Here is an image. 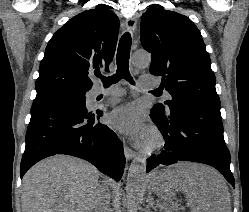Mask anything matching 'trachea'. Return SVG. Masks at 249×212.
Returning a JSON list of instances; mask_svg holds the SVG:
<instances>
[{"label": "trachea", "mask_w": 249, "mask_h": 212, "mask_svg": "<svg viewBox=\"0 0 249 212\" xmlns=\"http://www.w3.org/2000/svg\"><path fill=\"white\" fill-rule=\"evenodd\" d=\"M131 36L130 33H125L120 39L117 50V71L111 77H103L101 74H97V77L101 78L104 87L119 82L122 78L127 80L131 84H135L133 78L129 72V57L131 49Z\"/></svg>", "instance_id": "obj_1"}]
</instances>
